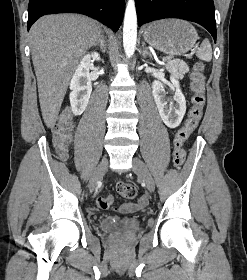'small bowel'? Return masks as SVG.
<instances>
[{"label":"small bowel","instance_id":"obj_1","mask_svg":"<svg viewBox=\"0 0 247 280\" xmlns=\"http://www.w3.org/2000/svg\"><path fill=\"white\" fill-rule=\"evenodd\" d=\"M104 202L102 205L101 202ZM113 200L111 197H101L98 199L97 204L100 208L102 209H107L112 206ZM148 203V199L146 196H141L137 202L134 203H127V204H122L116 208L119 212L122 213H127V212H133V211H138L142 208H144Z\"/></svg>","mask_w":247,"mask_h":280}]
</instances>
